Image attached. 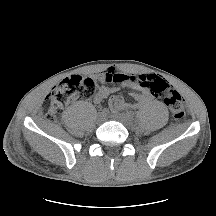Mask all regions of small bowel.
<instances>
[{"label": "small bowel", "mask_w": 216, "mask_h": 216, "mask_svg": "<svg viewBox=\"0 0 216 216\" xmlns=\"http://www.w3.org/2000/svg\"><path fill=\"white\" fill-rule=\"evenodd\" d=\"M97 77L103 85L100 86L99 93L94 98V102L101 103L110 97L109 105L113 110L136 107L140 104L149 102L153 98L154 94L146 84L153 80H163L161 77L156 75H128L125 72L117 71L114 68H108L101 72ZM110 83L132 89V96L136 100V103H126L122 97L111 96V94L117 90V87L106 85Z\"/></svg>", "instance_id": "c3829d8e"}]
</instances>
